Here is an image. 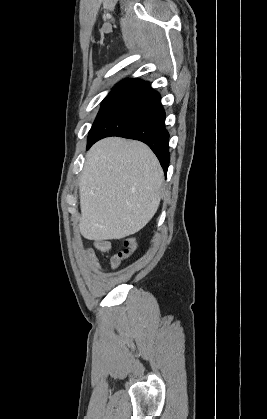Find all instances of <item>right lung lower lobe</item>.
I'll return each instance as SVG.
<instances>
[{
	"instance_id": "1",
	"label": "right lung lower lobe",
	"mask_w": 267,
	"mask_h": 419,
	"mask_svg": "<svg viewBox=\"0 0 267 419\" xmlns=\"http://www.w3.org/2000/svg\"><path fill=\"white\" fill-rule=\"evenodd\" d=\"M165 112L160 94L148 82L126 95L101 120L87 144L89 149L108 136L135 139L147 144L156 154L165 172L169 166V133L165 129Z\"/></svg>"
}]
</instances>
